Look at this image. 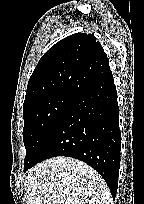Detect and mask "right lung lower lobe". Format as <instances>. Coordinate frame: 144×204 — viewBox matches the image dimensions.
Returning a JSON list of instances; mask_svg holds the SVG:
<instances>
[{
	"mask_svg": "<svg viewBox=\"0 0 144 204\" xmlns=\"http://www.w3.org/2000/svg\"><path fill=\"white\" fill-rule=\"evenodd\" d=\"M120 146L117 92L110 76L75 95L31 167L56 156L79 159L102 176L115 198Z\"/></svg>",
	"mask_w": 144,
	"mask_h": 204,
	"instance_id": "right-lung-lower-lobe-1",
	"label": "right lung lower lobe"
}]
</instances>
